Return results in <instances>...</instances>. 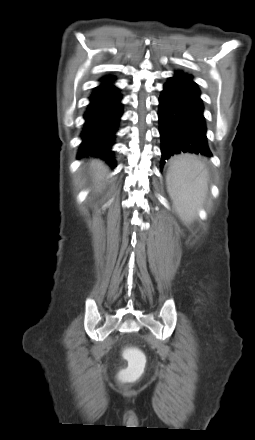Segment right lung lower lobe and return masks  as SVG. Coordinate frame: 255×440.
<instances>
[{"mask_svg": "<svg viewBox=\"0 0 255 440\" xmlns=\"http://www.w3.org/2000/svg\"><path fill=\"white\" fill-rule=\"evenodd\" d=\"M115 77L107 75L101 78L89 97L90 103L84 113V127L81 132L82 143L78 156H95L116 167L114 152L116 132L123 114L122 95L114 85Z\"/></svg>", "mask_w": 255, "mask_h": 440, "instance_id": "right-lung-lower-lobe-1", "label": "right lung lower lobe"}]
</instances>
